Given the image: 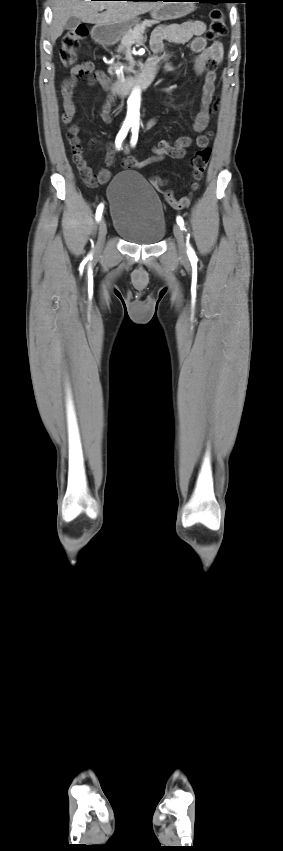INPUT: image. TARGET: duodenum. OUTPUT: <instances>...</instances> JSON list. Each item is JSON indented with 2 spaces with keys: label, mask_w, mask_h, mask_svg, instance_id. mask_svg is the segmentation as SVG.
Segmentation results:
<instances>
[{
  "label": "duodenum",
  "mask_w": 283,
  "mask_h": 851,
  "mask_svg": "<svg viewBox=\"0 0 283 851\" xmlns=\"http://www.w3.org/2000/svg\"><path fill=\"white\" fill-rule=\"evenodd\" d=\"M99 39L103 40L104 37L102 35L98 36ZM158 70V61L154 58H150L142 72L136 77H126L122 79L115 80L111 86L115 87L117 90L116 95L125 96L130 93L133 89L137 88H146L148 87L154 80L156 73Z\"/></svg>",
  "instance_id": "duodenum-1"
}]
</instances>
